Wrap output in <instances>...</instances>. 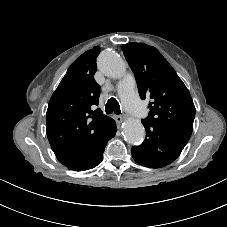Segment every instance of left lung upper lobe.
<instances>
[{
    "mask_svg": "<svg viewBox=\"0 0 227 227\" xmlns=\"http://www.w3.org/2000/svg\"><path fill=\"white\" fill-rule=\"evenodd\" d=\"M125 57L135 74L141 99H150V123L188 139L192 134L195 106L185 84L161 53L144 43L122 46Z\"/></svg>",
    "mask_w": 227,
    "mask_h": 227,
    "instance_id": "5c2ea615",
    "label": "left lung upper lobe"
}]
</instances>
